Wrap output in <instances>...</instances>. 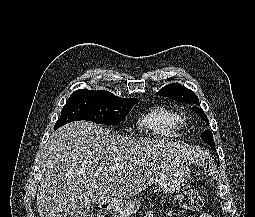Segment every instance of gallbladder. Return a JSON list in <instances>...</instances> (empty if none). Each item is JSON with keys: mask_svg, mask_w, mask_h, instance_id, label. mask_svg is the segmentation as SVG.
<instances>
[{"mask_svg": "<svg viewBox=\"0 0 255 217\" xmlns=\"http://www.w3.org/2000/svg\"><path fill=\"white\" fill-rule=\"evenodd\" d=\"M68 217H93L92 204L78 202L73 209L70 210Z\"/></svg>", "mask_w": 255, "mask_h": 217, "instance_id": "gallbladder-1", "label": "gallbladder"}]
</instances>
